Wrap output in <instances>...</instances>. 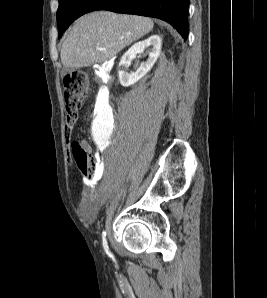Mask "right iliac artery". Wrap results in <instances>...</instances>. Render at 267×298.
<instances>
[{
    "mask_svg": "<svg viewBox=\"0 0 267 298\" xmlns=\"http://www.w3.org/2000/svg\"><path fill=\"white\" fill-rule=\"evenodd\" d=\"M102 243H103V247H104V250L106 252V254L113 259V255L112 253L110 252L109 250V247H108V243H107V240H106V231H103L102 232Z\"/></svg>",
    "mask_w": 267,
    "mask_h": 298,
    "instance_id": "1",
    "label": "right iliac artery"
}]
</instances>
